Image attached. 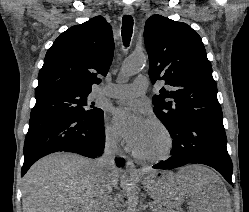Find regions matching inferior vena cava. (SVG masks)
I'll return each mask as SVG.
<instances>
[{
  "label": "inferior vena cava",
  "mask_w": 249,
  "mask_h": 212,
  "mask_svg": "<svg viewBox=\"0 0 249 212\" xmlns=\"http://www.w3.org/2000/svg\"><path fill=\"white\" fill-rule=\"evenodd\" d=\"M118 154V138H108L105 142L104 152L100 158L95 160L99 166L96 176V196L99 200L100 212H114V204L112 202V172L115 168V158Z\"/></svg>",
  "instance_id": "obj_1"
}]
</instances>
